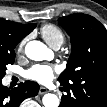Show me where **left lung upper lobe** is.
I'll use <instances>...</instances> for the list:
<instances>
[{
  "label": "left lung upper lobe",
  "mask_w": 107,
  "mask_h": 107,
  "mask_svg": "<svg viewBox=\"0 0 107 107\" xmlns=\"http://www.w3.org/2000/svg\"><path fill=\"white\" fill-rule=\"evenodd\" d=\"M58 22L71 37L72 45L66 70L58 81L71 90V107H80L83 83L107 82V31L97 19L82 13L61 17Z\"/></svg>",
  "instance_id": "obj_1"
}]
</instances>
